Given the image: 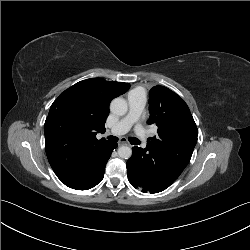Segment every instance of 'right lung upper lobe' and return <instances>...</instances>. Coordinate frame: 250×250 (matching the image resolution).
Masks as SVG:
<instances>
[{
  "instance_id": "right-lung-upper-lobe-1",
  "label": "right lung upper lobe",
  "mask_w": 250,
  "mask_h": 250,
  "mask_svg": "<svg viewBox=\"0 0 250 250\" xmlns=\"http://www.w3.org/2000/svg\"><path fill=\"white\" fill-rule=\"evenodd\" d=\"M130 85L90 78L71 86L53 102L45 121V149L57 177L76 189L93 175L92 165L99 150L108 142L98 140L112 99Z\"/></svg>"
}]
</instances>
